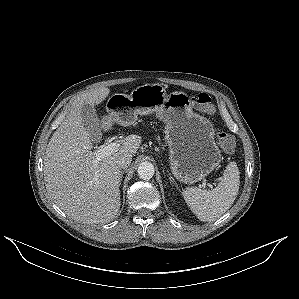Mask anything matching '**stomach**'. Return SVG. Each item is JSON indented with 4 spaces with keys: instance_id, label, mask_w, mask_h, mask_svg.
Segmentation results:
<instances>
[{
    "instance_id": "1",
    "label": "stomach",
    "mask_w": 299,
    "mask_h": 299,
    "mask_svg": "<svg viewBox=\"0 0 299 299\" xmlns=\"http://www.w3.org/2000/svg\"><path fill=\"white\" fill-rule=\"evenodd\" d=\"M110 102H114L111 106ZM109 116L115 110L124 115L121 123H133L138 115L156 113L165 122V140L170 151V165L174 176L193 184L220 163V150L214 139L212 124L193 111V100L184 92L167 95L160 84H145L130 95L114 94L108 100Z\"/></svg>"
}]
</instances>
